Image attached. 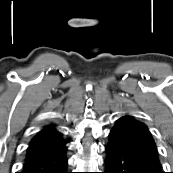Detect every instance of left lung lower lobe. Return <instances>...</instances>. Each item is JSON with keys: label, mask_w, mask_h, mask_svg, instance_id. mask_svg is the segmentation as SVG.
I'll use <instances>...</instances> for the list:
<instances>
[{"label": "left lung lower lobe", "mask_w": 173, "mask_h": 173, "mask_svg": "<svg viewBox=\"0 0 173 173\" xmlns=\"http://www.w3.org/2000/svg\"><path fill=\"white\" fill-rule=\"evenodd\" d=\"M104 173H163L158 158L109 142Z\"/></svg>", "instance_id": "1"}]
</instances>
